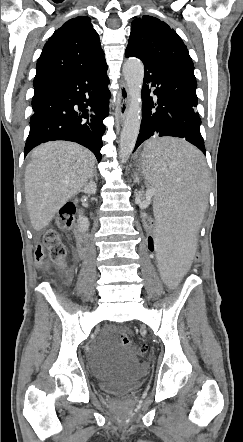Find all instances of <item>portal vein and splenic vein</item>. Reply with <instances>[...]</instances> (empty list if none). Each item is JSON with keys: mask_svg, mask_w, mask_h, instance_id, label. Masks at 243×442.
<instances>
[{"mask_svg": "<svg viewBox=\"0 0 243 442\" xmlns=\"http://www.w3.org/2000/svg\"><path fill=\"white\" fill-rule=\"evenodd\" d=\"M154 194H155V190L154 189L148 190L146 192V195L149 196V197H152Z\"/></svg>", "mask_w": 243, "mask_h": 442, "instance_id": "18ae733b", "label": "portal vein and splenic vein"}]
</instances>
